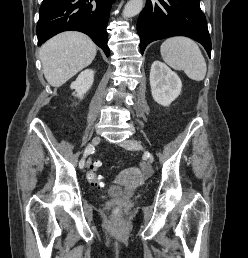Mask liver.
<instances>
[{
    "mask_svg": "<svg viewBox=\"0 0 248 258\" xmlns=\"http://www.w3.org/2000/svg\"><path fill=\"white\" fill-rule=\"evenodd\" d=\"M97 47L80 32H64L45 42L39 56L47 82L60 87L89 66L96 56Z\"/></svg>",
    "mask_w": 248,
    "mask_h": 258,
    "instance_id": "6515ba94",
    "label": "liver"
}]
</instances>
